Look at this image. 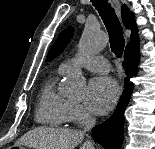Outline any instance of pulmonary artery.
I'll list each match as a JSON object with an SVG mask.
<instances>
[{
	"mask_svg": "<svg viewBox=\"0 0 155 149\" xmlns=\"http://www.w3.org/2000/svg\"><path fill=\"white\" fill-rule=\"evenodd\" d=\"M75 65L101 74H106L110 70L109 62L101 56H89L85 58L72 57L62 62L59 68L65 72Z\"/></svg>",
	"mask_w": 155,
	"mask_h": 149,
	"instance_id": "e3ab8cb5",
	"label": "pulmonary artery"
}]
</instances>
